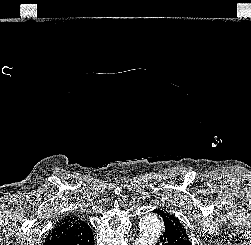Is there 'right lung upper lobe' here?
Returning a JSON list of instances; mask_svg holds the SVG:
<instances>
[{
  "mask_svg": "<svg viewBox=\"0 0 251 245\" xmlns=\"http://www.w3.org/2000/svg\"><path fill=\"white\" fill-rule=\"evenodd\" d=\"M88 228L90 227L87 223L80 218L74 215L67 216L56 223L55 227L49 232L47 239L78 234Z\"/></svg>",
  "mask_w": 251,
  "mask_h": 245,
  "instance_id": "1",
  "label": "right lung upper lobe"
}]
</instances>
